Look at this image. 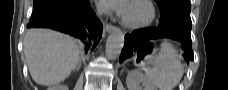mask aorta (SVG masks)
Instances as JSON below:
<instances>
[{"instance_id": "1", "label": "aorta", "mask_w": 228, "mask_h": 90, "mask_svg": "<svg viewBox=\"0 0 228 90\" xmlns=\"http://www.w3.org/2000/svg\"><path fill=\"white\" fill-rule=\"evenodd\" d=\"M124 46V34L120 30L111 33L106 41V56L109 59L117 58Z\"/></svg>"}]
</instances>
